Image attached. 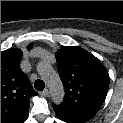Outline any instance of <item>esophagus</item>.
<instances>
[{"mask_svg":"<svg viewBox=\"0 0 123 123\" xmlns=\"http://www.w3.org/2000/svg\"><path fill=\"white\" fill-rule=\"evenodd\" d=\"M40 95L43 97H46L49 95V90L48 89H44L42 92H40Z\"/></svg>","mask_w":123,"mask_h":123,"instance_id":"34e87169","label":"esophagus"}]
</instances>
